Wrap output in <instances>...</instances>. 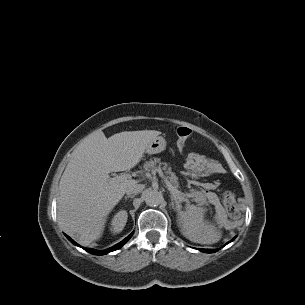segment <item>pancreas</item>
I'll return each mask as SVG.
<instances>
[{
  "instance_id": "cf45deb5",
  "label": "pancreas",
  "mask_w": 305,
  "mask_h": 305,
  "mask_svg": "<svg viewBox=\"0 0 305 305\" xmlns=\"http://www.w3.org/2000/svg\"><path fill=\"white\" fill-rule=\"evenodd\" d=\"M143 168L145 171H156L157 169L164 170L165 173L167 174V179L169 180L170 184L173 186L175 190L174 192H177L180 196L183 197V195L178 192L179 183L177 181V176L175 175L174 172H172V168L168 163L161 162L160 158H154V159H150L149 161H146L143 165ZM191 195L193 197V200L199 205L202 206L207 203L208 193H206L204 190L202 191L193 190L191 192ZM179 200L182 201L181 199Z\"/></svg>"
}]
</instances>
